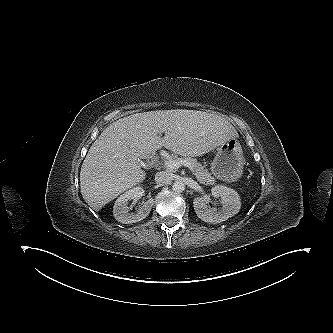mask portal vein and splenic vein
Here are the masks:
<instances>
[{"instance_id":"1","label":"portal vein and splenic vein","mask_w":333,"mask_h":333,"mask_svg":"<svg viewBox=\"0 0 333 333\" xmlns=\"http://www.w3.org/2000/svg\"><path fill=\"white\" fill-rule=\"evenodd\" d=\"M164 166L169 170L177 169L181 166L188 167L189 170L194 174V169L191 164L185 160H169L164 162Z\"/></svg>"}]
</instances>
